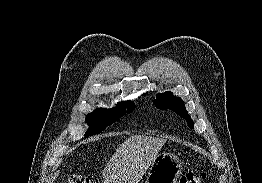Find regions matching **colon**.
<instances>
[{"mask_svg":"<svg viewBox=\"0 0 262 183\" xmlns=\"http://www.w3.org/2000/svg\"><path fill=\"white\" fill-rule=\"evenodd\" d=\"M206 177L204 172L187 173L180 178L179 183H204ZM68 183H92V181L84 175H74L68 180Z\"/></svg>","mask_w":262,"mask_h":183,"instance_id":"5ec220e1","label":"colon"}]
</instances>
